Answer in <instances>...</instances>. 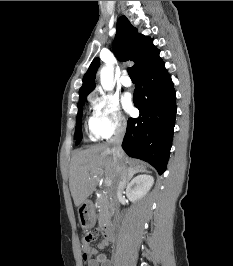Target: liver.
I'll return each mask as SVG.
<instances>
[{
    "mask_svg": "<svg viewBox=\"0 0 233 266\" xmlns=\"http://www.w3.org/2000/svg\"><path fill=\"white\" fill-rule=\"evenodd\" d=\"M126 163H132L124 156ZM118 163L114 159L112 145L102 143L76 152L71 159L69 187L78 207L92 194L102 177L109 178L114 186L118 171ZM130 170H145L142 164L132 163Z\"/></svg>",
    "mask_w": 233,
    "mask_h": 266,
    "instance_id": "obj_1",
    "label": "liver"
}]
</instances>
